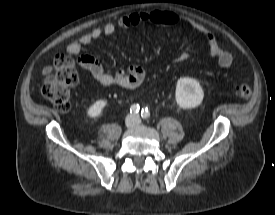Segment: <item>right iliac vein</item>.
<instances>
[{"instance_id": "obj_1", "label": "right iliac vein", "mask_w": 275, "mask_h": 215, "mask_svg": "<svg viewBox=\"0 0 275 215\" xmlns=\"http://www.w3.org/2000/svg\"><path fill=\"white\" fill-rule=\"evenodd\" d=\"M133 125H134V119H133L132 117H128V118L126 119V126H127L128 128H131Z\"/></svg>"}]
</instances>
